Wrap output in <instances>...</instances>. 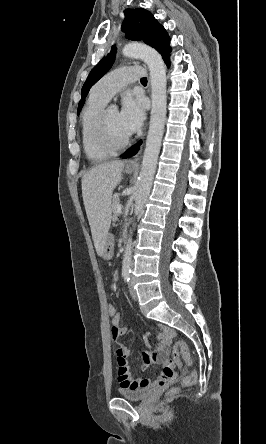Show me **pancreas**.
Here are the masks:
<instances>
[{
  "label": "pancreas",
  "instance_id": "cf45deb5",
  "mask_svg": "<svg viewBox=\"0 0 266 444\" xmlns=\"http://www.w3.org/2000/svg\"><path fill=\"white\" fill-rule=\"evenodd\" d=\"M119 205V199L118 198H114L112 201V205H111V209L113 212V220L117 219V206Z\"/></svg>",
  "mask_w": 266,
  "mask_h": 444
}]
</instances>
